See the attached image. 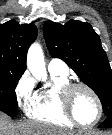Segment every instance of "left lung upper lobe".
<instances>
[{
  "mask_svg": "<svg viewBox=\"0 0 112 135\" xmlns=\"http://www.w3.org/2000/svg\"><path fill=\"white\" fill-rule=\"evenodd\" d=\"M43 32L50 54L76 72L100 98L106 118L112 117V70L92 26L76 20L65 25L48 21Z\"/></svg>",
  "mask_w": 112,
  "mask_h": 135,
  "instance_id": "5c2ea615",
  "label": "left lung upper lobe"
}]
</instances>
